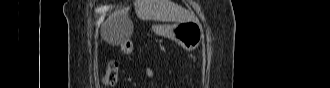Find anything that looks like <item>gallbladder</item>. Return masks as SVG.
<instances>
[{"instance_id": "bac80fb5", "label": "gallbladder", "mask_w": 330, "mask_h": 88, "mask_svg": "<svg viewBox=\"0 0 330 88\" xmlns=\"http://www.w3.org/2000/svg\"><path fill=\"white\" fill-rule=\"evenodd\" d=\"M133 32V26L128 21L119 20L118 25L114 29V35L117 38L118 44L128 40Z\"/></svg>"}]
</instances>
